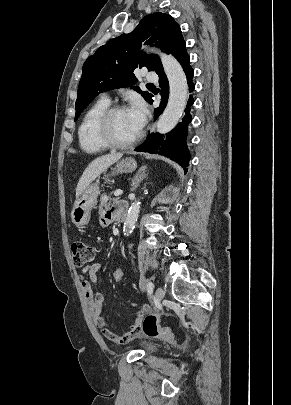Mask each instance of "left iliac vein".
Segmentation results:
<instances>
[{
    "mask_svg": "<svg viewBox=\"0 0 291 405\" xmlns=\"http://www.w3.org/2000/svg\"><path fill=\"white\" fill-rule=\"evenodd\" d=\"M164 290L162 288H157L155 292V297L158 301H161L164 298Z\"/></svg>",
    "mask_w": 291,
    "mask_h": 405,
    "instance_id": "1",
    "label": "left iliac vein"
}]
</instances>
